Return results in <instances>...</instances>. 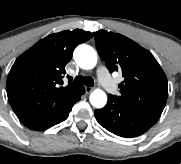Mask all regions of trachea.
<instances>
[{"label":"trachea","instance_id":"trachea-1","mask_svg":"<svg viewBox=\"0 0 181 164\" xmlns=\"http://www.w3.org/2000/svg\"><path fill=\"white\" fill-rule=\"evenodd\" d=\"M72 85L80 86V85H86V86H93L94 80L92 77H83V76H77L73 82Z\"/></svg>","mask_w":181,"mask_h":164}]
</instances>
